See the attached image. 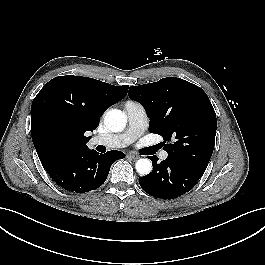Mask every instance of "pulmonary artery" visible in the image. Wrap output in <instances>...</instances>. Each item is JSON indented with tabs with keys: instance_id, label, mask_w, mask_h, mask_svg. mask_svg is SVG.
<instances>
[{
	"instance_id": "e3ab8cb5",
	"label": "pulmonary artery",
	"mask_w": 265,
	"mask_h": 265,
	"mask_svg": "<svg viewBox=\"0 0 265 265\" xmlns=\"http://www.w3.org/2000/svg\"><path fill=\"white\" fill-rule=\"evenodd\" d=\"M124 110L128 121L126 130L117 134L94 136L90 141L92 145L122 148L134 142L141 135L146 119L144 107L137 102L127 101L124 105ZM167 157L166 151L160 153L161 160H165Z\"/></svg>"
}]
</instances>
